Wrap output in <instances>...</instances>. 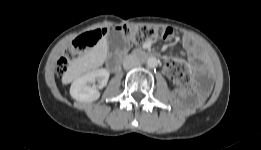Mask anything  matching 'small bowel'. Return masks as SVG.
Listing matches in <instances>:
<instances>
[{
    "label": "small bowel",
    "instance_id": "obj_1",
    "mask_svg": "<svg viewBox=\"0 0 261 150\" xmlns=\"http://www.w3.org/2000/svg\"><path fill=\"white\" fill-rule=\"evenodd\" d=\"M149 45H150L149 43H146L147 47H149ZM183 45L188 50L189 60L194 61L195 60V54H194L193 47H192V44H191V40H190L189 37H187V36L183 37ZM164 71L166 73V65L164 67Z\"/></svg>",
    "mask_w": 261,
    "mask_h": 150
}]
</instances>
